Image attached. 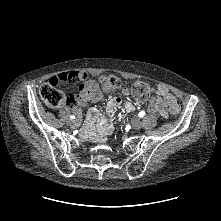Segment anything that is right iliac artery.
I'll return each mask as SVG.
<instances>
[{"instance_id":"82829eb1","label":"right iliac artery","mask_w":221,"mask_h":221,"mask_svg":"<svg viewBox=\"0 0 221 221\" xmlns=\"http://www.w3.org/2000/svg\"><path fill=\"white\" fill-rule=\"evenodd\" d=\"M70 118H71V119H74V118H75V116H74V115H71V116H70Z\"/></svg>"}]
</instances>
